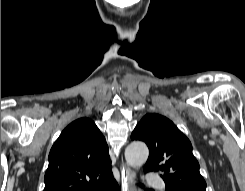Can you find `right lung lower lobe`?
Returning <instances> with one entry per match:
<instances>
[{"mask_svg":"<svg viewBox=\"0 0 245 191\" xmlns=\"http://www.w3.org/2000/svg\"><path fill=\"white\" fill-rule=\"evenodd\" d=\"M92 191H120V189L118 183L113 178L109 182L92 189Z\"/></svg>","mask_w":245,"mask_h":191,"instance_id":"1","label":"right lung lower lobe"}]
</instances>
